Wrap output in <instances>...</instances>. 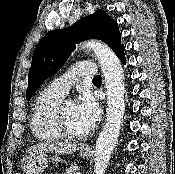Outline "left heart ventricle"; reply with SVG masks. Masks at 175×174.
<instances>
[{"mask_svg":"<svg viewBox=\"0 0 175 174\" xmlns=\"http://www.w3.org/2000/svg\"><path fill=\"white\" fill-rule=\"evenodd\" d=\"M65 120L69 130L74 133H82L89 129L80 117L76 103L73 101L67 102L65 106Z\"/></svg>","mask_w":175,"mask_h":174,"instance_id":"1","label":"left heart ventricle"}]
</instances>
